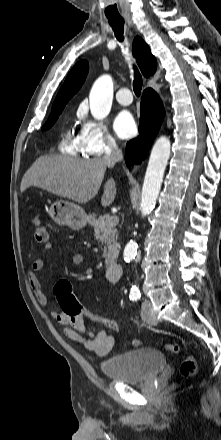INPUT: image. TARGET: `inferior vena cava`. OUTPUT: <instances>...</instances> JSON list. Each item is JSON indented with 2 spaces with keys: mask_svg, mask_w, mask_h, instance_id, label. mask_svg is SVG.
Instances as JSON below:
<instances>
[{
  "mask_svg": "<svg viewBox=\"0 0 221 440\" xmlns=\"http://www.w3.org/2000/svg\"><path fill=\"white\" fill-rule=\"evenodd\" d=\"M123 159L122 150L117 146L113 140L108 141L107 149L105 151L104 161L113 166L116 162Z\"/></svg>",
  "mask_w": 221,
  "mask_h": 440,
  "instance_id": "602c4592",
  "label": "inferior vena cava"
}]
</instances>
